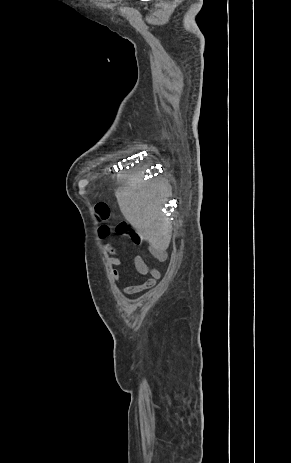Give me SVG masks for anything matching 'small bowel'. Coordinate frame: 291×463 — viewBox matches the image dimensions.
<instances>
[{"mask_svg":"<svg viewBox=\"0 0 291 463\" xmlns=\"http://www.w3.org/2000/svg\"><path fill=\"white\" fill-rule=\"evenodd\" d=\"M141 242L142 240L139 237L138 244H140ZM105 250L108 253H110V256L108 257V263L111 266V276L114 280L119 281L122 279V277H121V273L118 268L122 266V261L116 255V249L111 244H106ZM152 254L158 261L162 259L163 254L161 251L154 249L152 250ZM134 266L138 274H140L141 276H147L150 274V278L142 284L125 286L122 289V291L124 294H127V295L136 294V293L152 288L161 277L160 271L156 268L150 269L147 263L145 262V260L143 259V257L140 255H136L134 257Z\"/></svg>","mask_w":291,"mask_h":463,"instance_id":"c3829d8e","label":"small bowel"}]
</instances>
